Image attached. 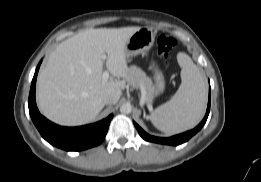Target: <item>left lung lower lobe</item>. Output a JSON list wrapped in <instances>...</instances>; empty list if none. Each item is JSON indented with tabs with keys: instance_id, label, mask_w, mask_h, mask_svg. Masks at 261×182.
<instances>
[{
	"instance_id": "0a47b994",
	"label": "left lung lower lobe",
	"mask_w": 261,
	"mask_h": 182,
	"mask_svg": "<svg viewBox=\"0 0 261 182\" xmlns=\"http://www.w3.org/2000/svg\"><path fill=\"white\" fill-rule=\"evenodd\" d=\"M209 111H210V92H209L207 111H206L205 117L202 120V122L197 127H195L193 130H190L185 133L175 135V136H172L169 138H161V137H155V136L148 135L135 122H134V125L137 128L140 136L146 141L160 143V144H168V145H179V144H182V143L188 141L193 135H195L203 127V125L205 124V122L208 118Z\"/></svg>"
}]
</instances>
